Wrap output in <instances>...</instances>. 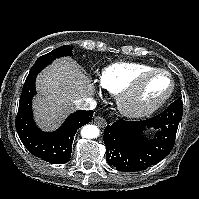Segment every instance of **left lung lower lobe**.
I'll return each mask as SVG.
<instances>
[{
  "label": "left lung lower lobe",
  "mask_w": 199,
  "mask_h": 199,
  "mask_svg": "<svg viewBox=\"0 0 199 199\" xmlns=\"http://www.w3.org/2000/svg\"><path fill=\"white\" fill-rule=\"evenodd\" d=\"M183 114L180 99L157 116L142 121L118 120L104 130L107 162L118 171H141L159 163L172 150ZM152 128V138L143 135Z\"/></svg>",
  "instance_id": "left-lung-lower-lobe-1"
}]
</instances>
